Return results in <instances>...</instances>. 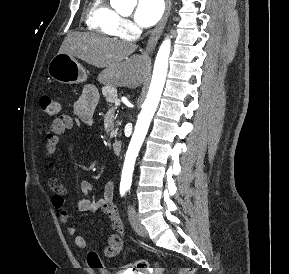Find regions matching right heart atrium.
I'll return each instance as SVG.
<instances>
[{
  "instance_id": "obj_1",
  "label": "right heart atrium",
  "mask_w": 289,
  "mask_h": 274,
  "mask_svg": "<svg viewBox=\"0 0 289 274\" xmlns=\"http://www.w3.org/2000/svg\"><path fill=\"white\" fill-rule=\"evenodd\" d=\"M121 31L124 36H131L137 32V28L127 19L121 20Z\"/></svg>"
}]
</instances>
